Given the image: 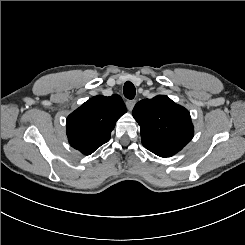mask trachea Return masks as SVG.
Returning a JSON list of instances; mask_svg holds the SVG:
<instances>
[{
  "mask_svg": "<svg viewBox=\"0 0 245 245\" xmlns=\"http://www.w3.org/2000/svg\"><path fill=\"white\" fill-rule=\"evenodd\" d=\"M124 96L128 99H133L135 97L136 91L135 86L131 81H126L123 87Z\"/></svg>",
  "mask_w": 245,
  "mask_h": 245,
  "instance_id": "1",
  "label": "trachea"
}]
</instances>
